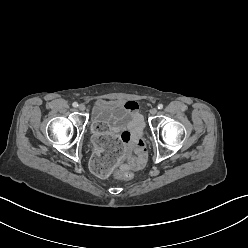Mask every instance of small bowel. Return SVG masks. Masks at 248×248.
Returning a JSON list of instances; mask_svg holds the SVG:
<instances>
[{"label": "small bowel", "instance_id": "1", "mask_svg": "<svg viewBox=\"0 0 248 248\" xmlns=\"http://www.w3.org/2000/svg\"><path fill=\"white\" fill-rule=\"evenodd\" d=\"M125 105L133 113L131 121L123 128L120 139L124 144V155L120 159L122 168L137 170L142 167L146 159V145L142 139V117L138 113V103L128 100ZM122 134H125L124 136Z\"/></svg>", "mask_w": 248, "mask_h": 248}]
</instances>
